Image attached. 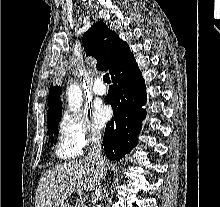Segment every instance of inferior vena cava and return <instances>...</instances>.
Segmentation results:
<instances>
[{
    "instance_id": "obj_1",
    "label": "inferior vena cava",
    "mask_w": 220,
    "mask_h": 207,
    "mask_svg": "<svg viewBox=\"0 0 220 207\" xmlns=\"http://www.w3.org/2000/svg\"><path fill=\"white\" fill-rule=\"evenodd\" d=\"M102 137L99 133L92 134L90 138V147L87 155V161L93 164L96 169L100 172V180L98 182V187L95 189V197L99 199L102 195L101 182L105 177L106 167L105 160L102 156Z\"/></svg>"
}]
</instances>
